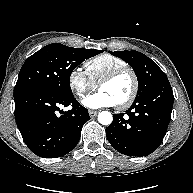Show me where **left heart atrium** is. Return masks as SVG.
<instances>
[{"label": "left heart atrium", "mask_w": 193, "mask_h": 193, "mask_svg": "<svg viewBox=\"0 0 193 193\" xmlns=\"http://www.w3.org/2000/svg\"><path fill=\"white\" fill-rule=\"evenodd\" d=\"M82 104L91 109L113 107L116 105L114 99L104 91L99 90L98 92L85 97Z\"/></svg>", "instance_id": "39dd6f15"}]
</instances>
